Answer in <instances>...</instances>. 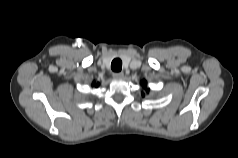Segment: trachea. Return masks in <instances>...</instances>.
<instances>
[{
    "label": "trachea",
    "instance_id": "1",
    "mask_svg": "<svg viewBox=\"0 0 238 158\" xmlns=\"http://www.w3.org/2000/svg\"><path fill=\"white\" fill-rule=\"evenodd\" d=\"M111 69L114 72H119L122 69V61L119 58H115L111 63Z\"/></svg>",
    "mask_w": 238,
    "mask_h": 158
}]
</instances>
